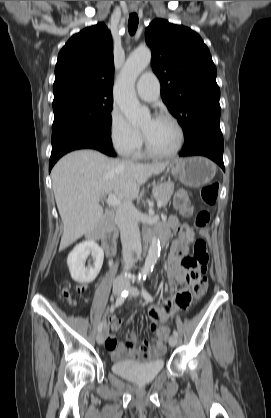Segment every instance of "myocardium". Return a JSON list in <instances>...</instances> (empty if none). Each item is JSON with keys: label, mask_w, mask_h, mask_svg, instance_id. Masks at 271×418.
Returning <instances> with one entry per match:
<instances>
[{"label": "myocardium", "mask_w": 271, "mask_h": 418, "mask_svg": "<svg viewBox=\"0 0 271 418\" xmlns=\"http://www.w3.org/2000/svg\"><path fill=\"white\" fill-rule=\"evenodd\" d=\"M155 118H163V119H167L170 122L173 123V125L175 126V128L177 129L178 132V142L177 145L175 146V148L169 152H158L155 151L145 133L142 131V137H143V142H144V146H145V151L148 155L155 157V158H170L175 156L182 148L184 141H185V133H184V129L182 127V125L180 124V122L171 114L167 113V112H160L158 114L155 115Z\"/></svg>", "instance_id": "obj_1"}]
</instances>
